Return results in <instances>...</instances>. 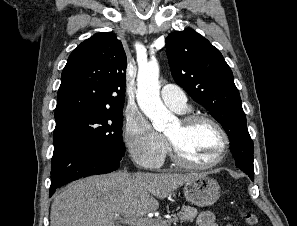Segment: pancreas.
I'll return each instance as SVG.
<instances>
[{"label":"pancreas","instance_id":"pancreas-1","mask_svg":"<svg viewBox=\"0 0 297 226\" xmlns=\"http://www.w3.org/2000/svg\"><path fill=\"white\" fill-rule=\"evenodd\" d=\"M197 214H198V211L196 208L191 206H186L182 209L181 212L174 215L175 217L174 219H170V220L156 219L155 223L152 226H168V224L171 221H175L178 218H180L182 222H192L194 218L197 216Z\"/></svg>","mask_w":297,"mask_h":226}]
</instances>
